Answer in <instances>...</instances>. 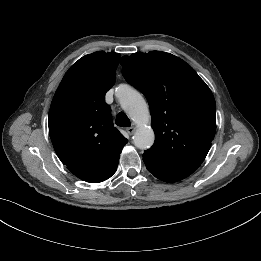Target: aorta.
Returning a JSON list of instances; mask_svg holds the SVG:
<instances>
[{"mask_svg":"<svg viewBox=\"0 0 261 261\" xmlns=\"http://www.w3.org/2000/svg\"><path fill=\"white\" fill-rule=\"evenodd\" d=\"M122 109L137 125L133 136L134 144L139 149L150 148L155 140V134L150 123L148 105L142 95L127 85H120L116 89Z\"/></svg>","mask_w":261,"mask_h":261,"instance_id":"obj_1","label":"aorta"}]
</instances>
